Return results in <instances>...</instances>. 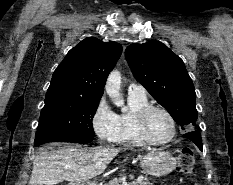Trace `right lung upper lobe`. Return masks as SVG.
Instances as JSON below:
<instances>
[{"label": "right lung upper lobe", "mask_w": 233, "mask_h": 185, "mask_svg": "<svg viewBox=\"0 0 233 185\" xmlns=\"http://www.w3.org/2000/svg\"><path fill=\"white\" fill-rule=\"evenodd\" d=\"M122 53L117 42L89 37L71 49L56 68L47 94L100 99L109 72Z\"/></svg>", "instance_id": "1"}]
</instances>
